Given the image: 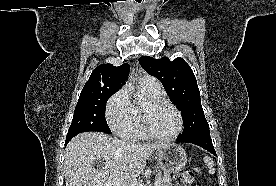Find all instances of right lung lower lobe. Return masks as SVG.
<instances>
[{
    "instance_id": "obj_1",
    "label": "right lung lower lobe",
    "mask_w": 276,
    "mask_h": 186,
    "mask_svg": "<svg viewBox=\"0 0 276 186\" xmlns=\"http://www.w3.org/2000/svg\"><path fill=\"white\" fill-rule=\"evenodd\" d=\"M98 132H101V131H98ZM80 133H81V132H80ZM103 133H105V132H103ZM77 134H79V133H74V134L67 135L65 144L67 145V143H68L75 135H77ZM107 134H108V133H107Z\"/></svg>"
}]
</instances>
